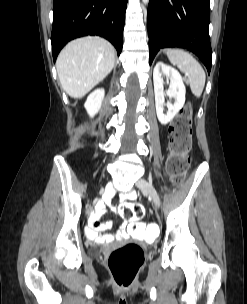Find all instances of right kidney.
Here are the masks:
<instances>
[{"label":"right kidney","instance_id":"right-kidney-1","mask_svg":"<svg viewBox=\"0 0 247 304\" xmlns=\"http://www.w3.org/2000/svg\"><path fill=\"white\" fill-rule=\"evenodd\" d=\"M105 91L104 89L94 90L88 97L85 102V109L87 113L93 117L100 109Z\"/></svg>","mask_w":247,"mask_h":304}]
</instances>
